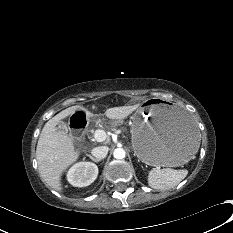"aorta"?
Segmentation results:
<instances>
[{"label": "aorta", "instance_id": "1", "mask_svg": "<svg viewBox=\"0 0 233 233\" xmlns=\"http://www.w3.org/2000/svg\"><path fill=\"white\" fill-rule=\"evenodd\" d=\"M113 156L116 159H124L126 156V152L123 148H117L114 150Z\"/></svg>", "mask_w": 233, "mask_h": 233}]
</instances>
